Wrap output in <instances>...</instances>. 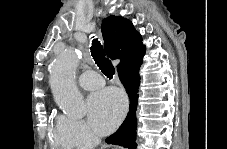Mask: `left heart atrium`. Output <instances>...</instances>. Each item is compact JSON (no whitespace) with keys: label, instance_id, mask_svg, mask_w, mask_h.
Segmentation results:
<instances>
[{"label":"left heart atrium","instance_id":"obj_1","mask_svg":"<svg viewBox=\"0 0 227 149\" xmlns=\"http://www.w3.org/2000/svg\"><path fill=\"white\" fill-rule=\"evenodd\" d=\"M89 121L100 134L112 131L126 111L124 94L115 88H106L88 99Z\"/></svg>","mask_w":227,"mask_h":149}]
</instances>
